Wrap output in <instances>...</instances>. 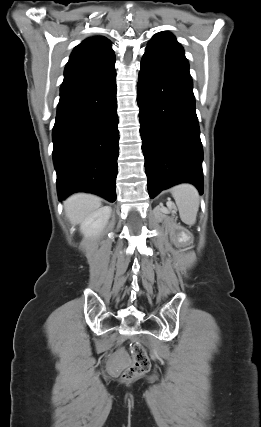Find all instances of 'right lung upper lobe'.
Instances as JSON below:
<instances>
[{
    "mask_svg": "<svg viewBox=\"0 0 261 427\" xmlns=\"http://www.w3.org/2000/svg\"><path fill=\"white\" fill-rule=\"evenodd\" d=\"M115 67V55L105 37L84 40L72 52L61 89L98 77Z\"/></svg>",
    "mask_w": 261,
    "mask_h": 427,
    "instance_id": "cb5924a9",
    "label": "right lung upper lobe"
}]
</instances>
